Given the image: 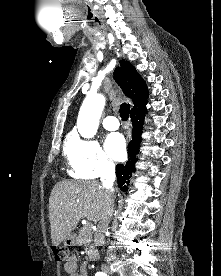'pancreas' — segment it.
<instances>
[{
    "label": "pancreas",
    "instance_id": "obj_1",
    "mask_svg": "<svg viewBox=\"0 0 221 276\" xmlns=\"http://www.w3.org/2000/svg\"><path fill=\"white\" fill-rule=\"evenodd\" d=\"M92 243V229L90 226L85 225L79 230V234L77 237V244L79 246L84 245L86 249H91Z\"/></svg>",
    "mask_w": 221,
    "mask_h": 276
}]
</instances>
